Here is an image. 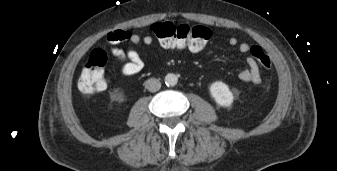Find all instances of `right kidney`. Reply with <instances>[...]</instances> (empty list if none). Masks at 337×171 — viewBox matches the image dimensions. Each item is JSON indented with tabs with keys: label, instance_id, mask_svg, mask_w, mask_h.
I'll return each instance as SVG.
<instances>
[{
	"label": "right kidney",
	"instance_id": "right-kidney-1",
	"mask_svg": "<svg viewBox=\"0 0 337 171\" xmlns=\"http://www.w3.org/2000/svg\"><path fill=\"white\" fill-rule=\"evenodd\" d=\"M118 100H119L120 102L123 101V95H122V94L119 95Z\"/></svg>",
	"mask_w": 337,
	"mask_h": 171
}]
</instances>
